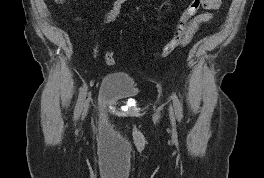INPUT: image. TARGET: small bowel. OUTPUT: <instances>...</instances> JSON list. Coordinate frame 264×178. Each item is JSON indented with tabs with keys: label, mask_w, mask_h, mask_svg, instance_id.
I'll return each mask as SVG.
<instances>
[{
	"label": "small bowel",
	"mask_w": 264,
	"mask_h": 178,
	"mask_svg": "<svg viewBox=\"0 0 264 178\" xmlns=\"http://www.w3.org/2000/svg\"><path fill=\"white\" fill-rule=\"evenodd\" d=\"M128 0H116L111 9L104 16V23H111L120 15L124 5ZM221 6V0H208L207 6L204 8L206 12L197 14L193 19V25L197 28L201 23L210 20L213 16L212 11L217 10Z\"/></svg>",
	"instance_id": "small-bowel-1"
}]
</instances>
